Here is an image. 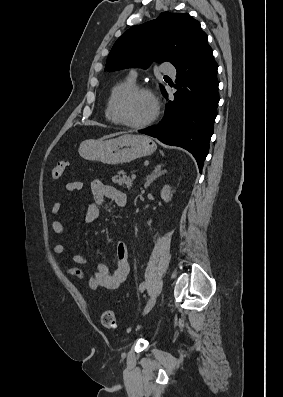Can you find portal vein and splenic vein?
<instances>
[{"instance_id": "1", "label": "portal vein and splenic vein", "mask_w": 283, "mask_h": 397, "mask_svg": "<svg viewBox=\"0 0 283 397\" xmlns=\"http://www.w3.org/2000/svg\"><path fill=\"white\" fill-rule=\"evenodd\" d=\"M132 179L136 178V175L134 173L131 174Z\"/></svg>"}]
</instances>
